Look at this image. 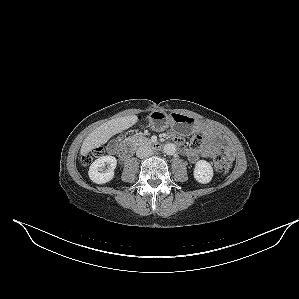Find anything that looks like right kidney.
<instances>
[{
  "mask_svg": "<svg viewBox=\"0 0 299 299\" xmlns=\"http://www.w3.org/2000/svg\"><path fill=\"white\" fill-rule=\"evenodd\" d=\"M106 165V171H103ZM117 160L113 156H102L96 159L90 166L88 175L89 178L97 184H104L111 181L114 178V169L116 168Z\"/></svg>",
  "mask_w": 299,
  "mask_h": 299,
  "instance_id": "obj_1",
  "label": "right kidney"
}]
</instances>
